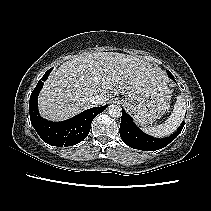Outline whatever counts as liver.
<instances>
[{"instance_id":"obj_1","label":"liver","mask_w":211,"mask_h":211,"mask_svg":"<svg viewBox=\"0 0 211 211\" xmlns=\"http://www.w3.org/2000/svg\"><path fill=\"white\" fill-rule=\"evenodd\" d=\"M166 82L161 70L136 56L115 52L80 55L49 76L38 98L39 111L49 120L61 121L90 108L88 100L94 95L102 96V104L118 94L138 101L167 91Z\"/></svg>"}]
</instances>
